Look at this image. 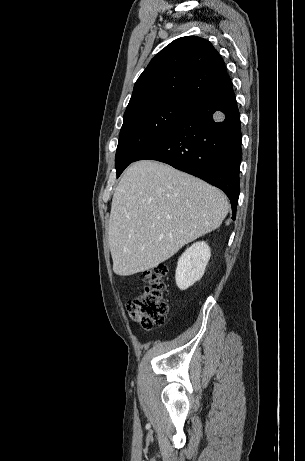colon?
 Returning <instances> with one entry per match:
<instances>
[{
	"mask_svg": "<svg viewBox=\"0 0 305 461\" xmlns=\"http://www.w3.org/2000/svg\"><path fill=\"white\" fill-rule=\"evenodd\" d=\"M167 272L165 265L148 270L144 275L145 284L141 293L127 304L130 318L146 330L163 324L168 313V304L164 298Z\"/></svg>",
	"mask_w": 305,
	"mask_h": 461,
	"instance_id": "colon-1",
	"label": "colon"
}]
</instances>
